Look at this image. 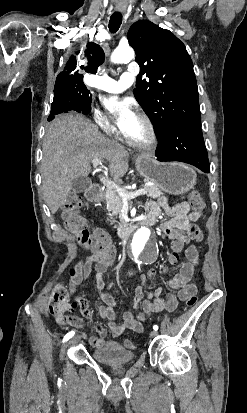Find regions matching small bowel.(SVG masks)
Returning <instances> with one entry per match:
<instances>
[{
    "label": "small bowel",
    "instance_id": "1",
    "mask_svg": "<svg viewBox=\"0 0 247 413\" xmlns=\"http://www.w3.org/2000/svg\"><path fill=\"white\" fill-rule=\"evenodd\" d=\"M147 222L148 224L155 223L161 217L162 212H166L171 218L161 224L164 233L174 238L177 243L190 244L192 241L200 242L203 238L202 231L193 226L191 223L201 217L200 211H190V205L185 202H179L174 206H170L165 197H159L155 201H149L146 204ZM187 261L180 265L175 277L167 282L169 292L166 294L165 300L161 297L162 288L157 287L153 294H150L147 299L143 300L146 285L152 281L158 271L166 273L169 266L166 264H158L155 269L150 270L141 282L136 286L134 291V299L132 309H135L139 303L142 304L143 312L137 317L132 311H126L122 315L123 322L117 324L115 322V308L117 307L116 300L108 293H100V302L98 304V311L102 318L107 320V326L114 338L119 337L127 329L135 332H142L143 325L148 321V318L159 312L174 311L180 300L195 299L197 297V287L195 284H189L196 265L199 261V255L196 247L190 244L186 250ZM109 263L103 257L93 252L84 259L78 260L70 269L69 292L71 295L75 294L78 288H82L84 283L95 275L96 287L102 290L104 287V276L108 270ZM178 291V292H176ZM154 296L155 299L151 300ZM80 310L83 316L89 318L92 315V310L88 301L85 298H77ZM56 323L64 328L82 327L84 324L83 318L75 315L58 314L55 316ZM99 336H91L89 338L90 344L95 348H101L105 345L108 349L115 347L113 340H105V331L100 328L98 330ZM82 337H86L82 334Z\"/></svg>",
    "mask_w": 247,
    "mask_h": 413
}]
</instances>
